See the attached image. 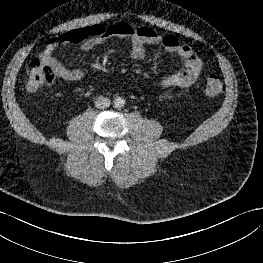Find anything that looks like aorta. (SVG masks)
Returning a JSON list of instances; mask_svg holds the SVG:
<instances>
[{
  "mask_svg": "<svg viewBox=\"0 0 263 263\" xmlns=\"http://www.w3.org/2000/svg\"><path fill=\"white\" fill-rule=\"evenodd\" d=\"M113 102L116 108H122L125 105V100L121 97L115 98Z\"/></svg>",
  "mask_w": 263,
  "mask_h": 263,
  "instance_id": "obj_1",
  "label": "aorta"
}]
</instances>
